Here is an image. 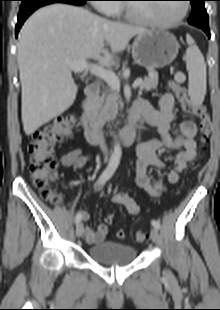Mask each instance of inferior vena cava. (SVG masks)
<instances>
[{"mask_svg": "<svg viewBox=\"0 0 220 310\" xmlns=\"http://www.w3.org/2000/svg\"><path fill=\"white\" fill-rule=\"evenodd\" d=\"M99 145H100V148L102 150V152L104 154H107V147H106V144H105V141H104V138L102 135H99Z\"/></svg>", "mask_w": 220, "mask_h": 310, "instance_id": "602c4592", "label": "inferior vena cava"}]
</instances>
